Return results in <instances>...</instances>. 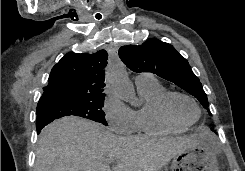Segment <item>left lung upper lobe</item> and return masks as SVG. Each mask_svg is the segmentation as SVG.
I'll return each mask as SVG.
<instances>
[{
  "label": "left lung upper lobe",
  "instance_id": "1",
  "mask_svg": "<svg viewBox=\"0 0 245 171\" xmlns=\"http://www.w3.org/2000/svg\"><path fill=\"white\" fill-rule=\"evenodd\" d=\"M119 57L134 72H151L175 83L208 108V99L198 77L188 61L173 46L158 39H149L142 45L122 46ZM211 114L210 110L208 111Z\"/></svg>",
  "mask_w": 245,
  "mask_h": 171
}]
</instances>
